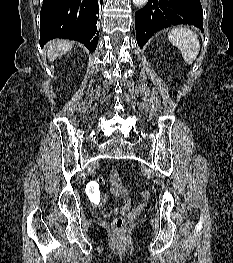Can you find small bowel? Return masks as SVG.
Returning a JSON list of instances; mask_svg holds the SVG:
<instances>
[{
	"instance_id": "small-bowel-1",
	"label": "small bowel",
	"mask_w": 233,
	"mask_h": 263,
	"mask_svg": "<svg viewBox=\"0 0 233 263\" xmlns=\"http://www.w3.org/2000/svg\"><path fill=\"white\" fill-rule=\"evenodd\" d=\"M111 191L112 193L119 198L123 199L122 205L118 208L114 209V212H127L131 208V201L127 197V191L126 188L124 187L122 180L119 176V173L115 167L111 169ZM97 182L99 184H102L104 182L103 177H99L97 179ZM96 206L101 209L105 210L106 209V203H107V196L104 194L100 195V202H94Z\"/></svg>"
}]
</instances>
